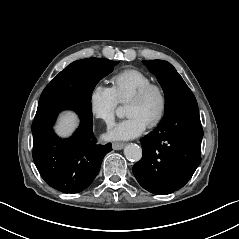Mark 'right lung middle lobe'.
<instances>
[{
	"instance_id": "1",
	"label": "right lung middle lobe",
	"mask_w": 239,
	"mask_h": 239,
	"mask_svg": "<svg viewBox=\"0 0 239 239\" xmlns=\"http://www.w3.org/2000/svg\"><path fill=\"white\" fill-rule=\"evenodd\" d=\"M118 62L87 58L69 64L43 90L39 104L70 94H82L91 99L96 84L112 72Z\"/></svg>"
}]
</instances>
